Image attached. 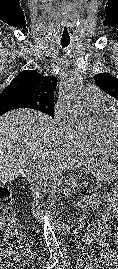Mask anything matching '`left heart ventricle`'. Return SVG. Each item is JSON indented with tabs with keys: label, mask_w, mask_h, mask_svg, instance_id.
<instances>
[{
	"label": "left heart ventricle",
	"mask_w": 118,
	"mask_h": 269,
	"mask_svg": "<svg viewBox=\"0 0 118 269\" xmlns=\"http://www.w3.org/2000/svg\"><path fill=\"white\" fill-rule=\"evenodd\" d=\"M101 129H103L102 124L99 125V130H101ZM110 132H111L113 139L118 141V120H116L115 123L112 125V129Z\"/></svg>",
	"instance_id": "1"
}]
</instances>
